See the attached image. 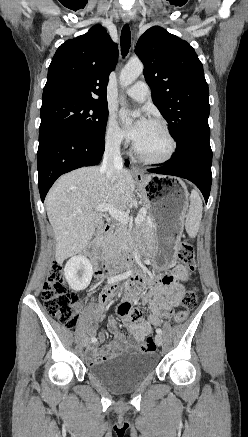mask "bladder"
<instances>
[{
  "label": "bladder",
  "instance_id": "obj_1",
  "mask_svg": "<svg viewBox=\"0 0 248 437\" xmlns=\"http://www.w3.org/2000/svg\"><path fill=\"white\" fill-rule=\"evenodd\" d=\"M155 368L153 354L128 352L90 366L88 373L109 390L124 393L141 384Z\"/></svg>",
  "mask_w": 248,
  "mask_h": 437
}]
</instances>
